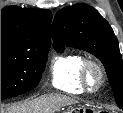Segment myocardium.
<instances>
[{"label": "myocardium", "instance_id": "f54148a6", "mask_svg": "<svg viewBox=\"0 0 123 113\" xmlns=\"http://www.w3.org/2000/svg\"><path fill=\"white\" fill-rule=\"evenodd\" d=\"M95 73L98 77L96 85L91 83V75ZM80 78L83 88L88 92H97L105 82L104 70L99 62L93 59H85L81 70Z\"/></svg>", "mask_w": 123, "mask_h": 113}]
</instances>
